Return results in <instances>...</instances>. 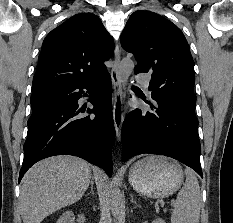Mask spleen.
<instances>
[{"instance_id":"3e777b00","label":"spleen","mask_w":233,"mask_h":223,"mask_svg":"<svg viewBox=\"0 0 233 223\" xmlns=\"http://www.w3.org/2000/svg\"><path fill=\"white\" fill-rule=\"evenodd\" d=\"M200 187L194 171H186V181L177 193L171 223H199Z\"/></svg>"}]
</instances>
